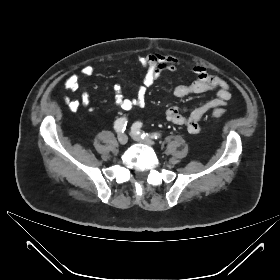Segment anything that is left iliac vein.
I'll return each instance as SVG.
<instances>
[{"label": "left iliac vein", "mask_w": 280, "mask_h": 280, "mask_svg": "<svg viewBox=\"0 0 280 280\" xmlns=\"http://www.w3.org/2000/svg\"><path fill=\"white\" fill-rule=\"evenodd\" d=\"M130 135L131 137L135 140V141H138V142H142V143H145L147 145H153L154 144V141L150 138H141L140 135H138L136 132L134 131H131L130 132Z\"/></svg>", "instance_id": "left-iliac-vein-1"}]
</instances>
